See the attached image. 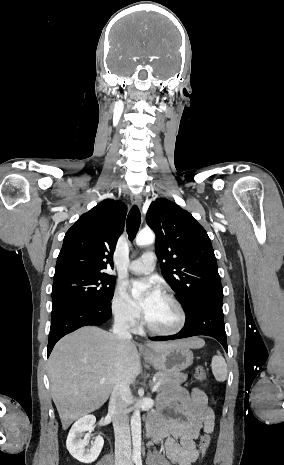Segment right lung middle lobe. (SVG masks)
Listing matches in <instances>:
<instances>
[{
    "instance_id": "1",
    "label": "right lung middle lobe",
    "mask_w": 284,
    "mask_h": 465,
    "mask_svg": "<svg viewBox=\"0 0 284 465\" xmlns=\"http://www.w3.org/2000/svg\"><path fill=\"white\" fill-rule=\"evenodd\" d=\"M115 278L106 274H72L53 280L52 312L77 301L110 303Z\"/></svg>"
}]
</instances>
